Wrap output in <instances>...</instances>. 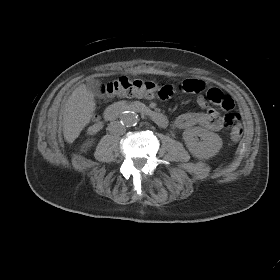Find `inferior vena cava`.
Masks as SVG:
<instances>
[{"instance_id":"obj_1","label":"inferior vena cava","mask_w":280,"mask_h":280,"mask_svg":"<svg viewBox=\"0 0 280 280\" xmlns=\"http://www.w3.org/2000/svg\"><path fill=\"white\" fill-rule=\"evenodd\" d=\"M108 130L113 135H123L126 132V128L118 121H113L109 124Z\"/></svg>"}]
</instances>
